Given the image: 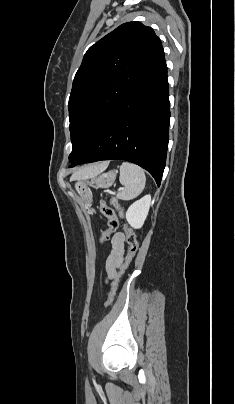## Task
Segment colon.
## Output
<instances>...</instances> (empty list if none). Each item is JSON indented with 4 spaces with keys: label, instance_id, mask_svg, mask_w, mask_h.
<instances>
[{
    "label": "colon",
    "instance_id": "5ec220e1",
    "mask_svg": "<svg viewBox=\"0 0 235 404\" xmlns=\"http://www.w3.org/2000/svg\"><path fill=\"white\" fill-rule=\"evenodd\" d=\"M114 207L118 209L120 208L116 198H109L108 200H102L100 203L101 213L107 219V226L105 229L101 231L100 234L101 243L107 241L110 235L113 232H115L118 228L119 222ZM124 231L126 235V242L128 244V253L121 267L119 268V270L117 271V273L113 278L110 291L104 304L105 306H109L113 302L117 292L120 278L122 277L125 270L127 269V267L129 266V264L131 263L132 259L134 258V256L138 251V241L135 232L128 225L124 226Z\"/></svg>",
    "mask_w": 235,
    "mask_h": 404
}]
</instances>
